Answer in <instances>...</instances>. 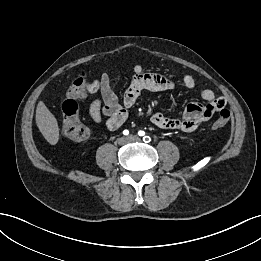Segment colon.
I'll use <instances>...</instances> for the list:
<instances>
[{"instance_id": "1", "label": "colon", "mask_w": 261, "mask_h": 261, "mask_svg": "<svg viewBox=\"0 0 261 261\" xmlns=\"http://www.w3.org/2000/svg\"><path fill=\"white\" fill-rule=\"evenodd\" d=\"M100 81H89L85 73H81L72 83L65 99L62 102V130L66 137L74 141H83L90 135V130L85 126L78 113L77 95L80 92L93 93L99 90ZM231 118V112L223 107L219 111L218 118L212 125L213 129L225 126Z\"/></svg>"}]
</instances>
